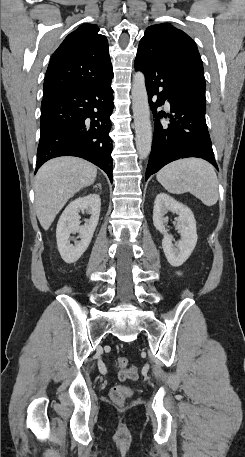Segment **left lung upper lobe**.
<instances>
[{"instance_id": "1", "label": "left lung upper lobe", "mask_w": 245, "mask_h": 457, "mask_svg": "<svg viewBox=\"0 0 245 457\" xmlns=\"http://www.w3.org/2000/svg\"><path fill=\"white\" fill-rule=\"evenodd\" d=\"M137 54L163 61L187 85V93L205 99L203 64L195 42L169 23L149 26Z\"/></svg>"}]
</instances>
